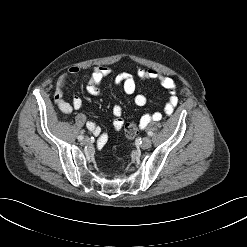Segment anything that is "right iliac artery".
<instances>
[{"label":"right iliac artery","mask_w":247,"mask_h":247,"mask_svg":"<svg viewBox=\"0 0 247 247\" xmlns=\"http://www.w3.org/2000/svg\"><path fill=\"white\" fill-rule=\"evenodd\" d=\"M83 138H84L83 135H79V136H78V140H79V141L83 140Z\"/></svg>","instance_id":"82829eb1"}]
</instances>
